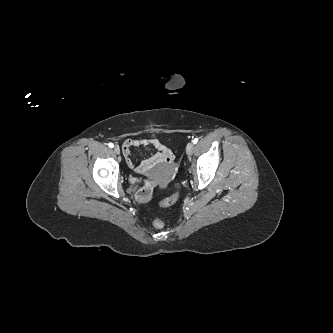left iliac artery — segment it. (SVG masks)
<instances>
[{
    "instance_id": "left-iliac-artery-1",
    "label": "left iliac artery",
    "mask_w": 333,
    "mask_h": 333,
    "mask_svg": "<svg viewBox=\"0 0 333 333\" xmlns=\"http://www.w3.org/2000/svg\"><path fill=\"white\" fill-rule=\"evenodd\" d=\"M197 142H198V138H195V139L193 140V143L196 144Z\"/></svg>"
}]
</instances>
